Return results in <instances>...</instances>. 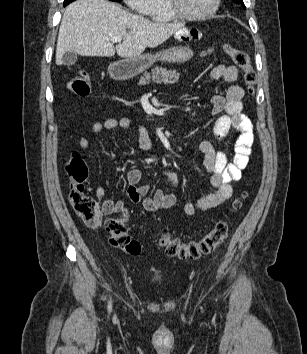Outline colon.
I'll return each mask as SVG.
<instances>
[{
  "label": "colon",
  "instance_id": "colon-1",
  "mask_svg": "<svg viewBox=\"0 0 307 354\" xmlns=\"http://www.w3.org/2000/svg\"><path fill=\"white\" fill-rule=\"evenodd\" d=\"M223 51L232 59L234 64L243 71L244 81L250 95L255 93L257 75L252 67L250 57L244 50L230 44L222 45ZM210 51H205L207 55ZM69 88L78 96L85 97L90 92L88 76L83 71L74 72L68 80ZM66 171L70 179L69 202L76 214L91 228L105 227L109 233L110 244L131 255H137L141 251L138 241L128 234V212L123 208L118 217H109L104 220L107 213L105 207L100 205L93 197L85 192V182L88 178V168L78 153H73L69 158ZM246 194L233 203L235 210L241 208ZM229 224L227 220H219L214 227L201 239L192 240L188 243L178 238L171 237L168 233H162L159 244L170 257L179 259L196 260L215 251L227 238Z\"/></svg>",
  "mask_w": 307,
  "mask_h": 354
}]
</instances>
